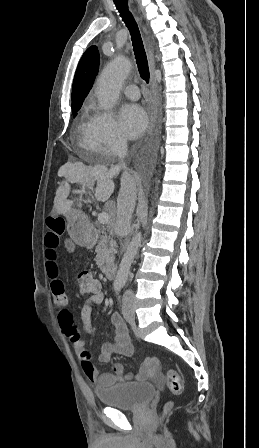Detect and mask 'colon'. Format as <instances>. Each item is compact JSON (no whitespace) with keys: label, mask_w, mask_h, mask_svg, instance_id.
<instances>
[{"label":"colon","mask_w":259,"mask_h":448,"mask_svg":"<svg viewBox=\"0 0 259 448\" xmlns=\"http://www.w3.org/2000/svg\"><path fill=\"white\" fill-rule=\"evenodd\" d=\"M78 292L81 296H92L100 292V284L90 272H81L77 277ZM166 380L169 389L175 395H179L183 391V381L180 374L174 369L166 370ZM172 403L166 404L165 409L168 410Z\"/></svg>","instance_id":"colon-1"}]
</instances>
